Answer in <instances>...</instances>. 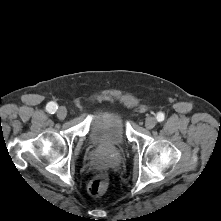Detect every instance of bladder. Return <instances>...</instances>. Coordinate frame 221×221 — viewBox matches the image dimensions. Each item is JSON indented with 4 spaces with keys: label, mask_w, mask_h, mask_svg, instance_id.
Here are the masks:
<instances>
[{
    "label": "bladder",
    "mask_w": 221,
    "mask_h": 221,
    "mask_svg": "<svg viewBox=\"0 0 221 221\" xmlns=\"http://www.w3.org/2000/svg\"><path fill=\"white\" fill-rule=\"evenodd\" d=\"M90 141L104 149L123 146L126 142V132L122 116L111 108L99 110L90 131Z\"/></svg>",
    "instance_id": "obj_1"
}]
</instances>
